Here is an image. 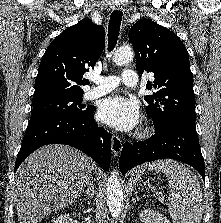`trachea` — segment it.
Returning a JSON list of instances; mask_svg holds the SVG:
<instances>
[{
    "label": "trachea",
    "mask_w": 221,
    "mask_h": 223,
    "mask_svg": "<svg viewBox=\"0 0 221 223\" xmlns=\"http://www.w3.org/2000/svg\"><path fill=\"white\" fill-rule=\"evenodd\" d=\"M122 21V11H113L110 16L108 26V51L111 52L117 44L120 25Z\"/></svg>",
    "instance_id": "obj_1"
}]
</instances>
